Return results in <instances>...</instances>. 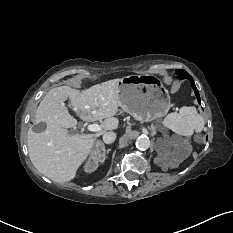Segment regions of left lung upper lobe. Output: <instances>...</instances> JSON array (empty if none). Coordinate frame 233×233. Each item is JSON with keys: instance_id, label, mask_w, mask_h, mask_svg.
I'll list each match as a JSON object with an SVG mask.
<instances>
[{"instance_id": "obj_1", "label": "left lung upper lobe", "mask_w": 233, "mask_h": 233, "mask_svg": "<svg viewBox=\"0 0 233 233\" xmlns=\"http://www.w3.org/2000/svg\"><path fill=\"white\" fill-rule=\"evenodd\" d=\"M183 72H186L185 70H176V74H179V73H183Z\"/></svg>"}]
</instances>
